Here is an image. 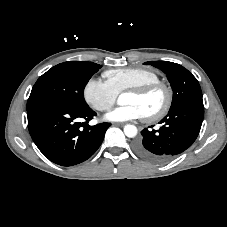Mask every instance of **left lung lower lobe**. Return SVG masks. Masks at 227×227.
<instances>
[{"label": "left lung lower lobe", "instance_id": "1", "mask_svg": "<svg viewBox=\"0 0 227 227\" xmlns=\"http://www.w3.org/2000/svg\"><path fill=\"white\" fill-rule=\"evenodd\" d=\"M203 116L201 105L190 104L170 110L160 121L163 125L158 130L145 128L141 131L142 137L134 144L135 152L155 163L174 158L196 140Z\"/></svg>", "mask_w": 227, "mask_h": 227}]
</instances>
